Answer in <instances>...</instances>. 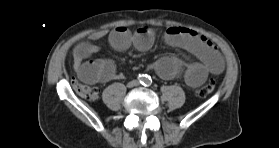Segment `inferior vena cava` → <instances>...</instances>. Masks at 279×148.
I'll return each mask as SVG.
<instances>
[{"instance_id": "602c4592", "label": "inferior vena cava", "mask_w": 279, "mask_h": 148, "mask_svg": "<svg viewBox=\"0 0 279 148\" xmlns=\"http://www.w3.org/2000/svg\"><path fill=\"white\" fill-rule=\"evenodd\" d=\"M137 84V81H134V85H136Z\"/></svg>"}]
</instances>
